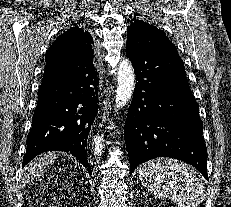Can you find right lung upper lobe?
Returning a JSON list of instances; mask_svg holds the SVG:
<instances>
[{"mask_svg": "<svg viewBox=\"0 0 231 207\" xmlns=\"http://www.w3.org/2000/svg\"><path fill=\"white\" fill-rule=\"evenodd\" d=\"M92 37L78 27H72L60 35L45 56V69L74 70L86 66L93 56Z\"/></svg>", "mask_w": 231, "mask_h": 207, "instance_id": "cb5924a9", "label": "right lung upper lobe"}]
</instances>
